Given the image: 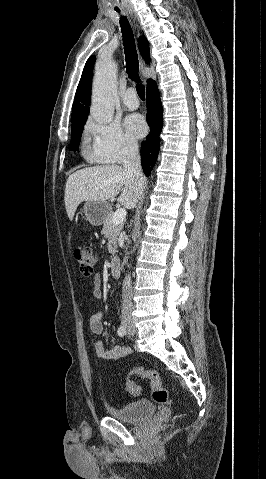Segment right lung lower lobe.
I'll list each match as a JSON object with an SVG mask.
<instances>
[{
  "mask_svg": "<svg viewBox=\"0 0 266 479\" xmlns=\"http://www.w3.org/2000/svg\"><path fill=\"white\" fill-rule=\"evenodd\" d=\"M147 115L150 134L141 145V164L146 176H149L158 157L160 149L159 135L163 126L162 105L156 82L147 86Z\"/></svg>",
  "mask_w": 266,
  "mask_h": 479,
  "instance_id": "98d812e1",
  "label": "right lung lower lobe"
}]
</instances>
